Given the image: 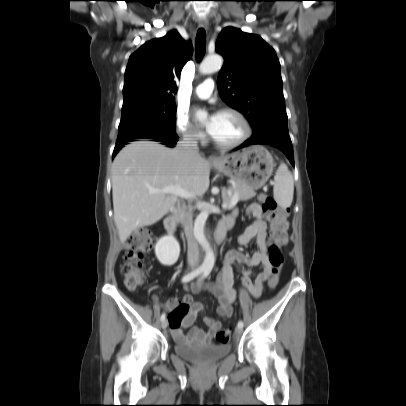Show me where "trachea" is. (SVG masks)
Listing matches in <instances>:
<instances>
[{
    "mask_svg": "<svg viewBox=\"0 0 406 406\" xmlns=\"http://www.w3.org/2000/svg\"><path fill=\"white\" fill-rule=\"evenodd\" d=\"M195 49H196V59L197 61H200L203 58L206 51V33L203 28L199 29L197 32Z\"/></svg>",
    "mask_w": 406,
    "mask_h": 406,
    "instance_id": "1",
    "label": "trachea"
}]
</instances>
